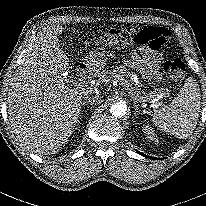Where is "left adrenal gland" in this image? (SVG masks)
Returning <instances> with one entry per match:
<instances>
[{"label": "left adrenal gland", "instance_id": "a2214340", "mask_svg": "<svg viewBox=\"0 0 206 206\" xmlns=\"http://www.w3.org/2000/svg\"><path fill=\"white\" fill-rule=\"evenodd\" d=\"M129 92L131 93V90H129ZM134 109H135V115H137L138 112V105L136 104V102L134 101Z\"/></svg>", "mask_w": 206, "mask_h": 206}]
</instances>
